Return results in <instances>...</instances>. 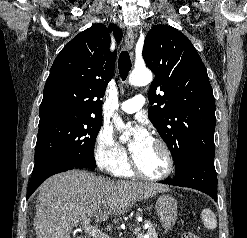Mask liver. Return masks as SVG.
<instances>
[{
    "label": "liver",
    "mask_w": 247,
    "mask_h": 238,
    "mask_svg": "<svg viewBox=\"0 0 247 238\" xmlns=\"http://www.w3.org/2000/svg\"><path fill=\"white\" fill-rule=\"evenodd\" d=\"M168 191L165 185L116 182L80 170L54 175L39 188L34 217L37 238H71L72 228L80 222L92 218L102 222L137 201Z\"/></svg>",
    "instance_id": "1"
}]
</instances>
